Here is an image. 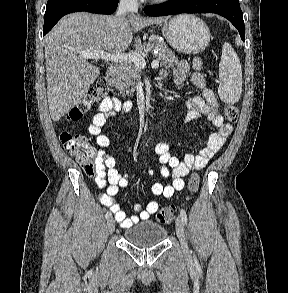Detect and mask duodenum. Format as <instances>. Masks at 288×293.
I'll use <instances>...</instances> for the list:
<instances>
[{
	"mask_svg": "<svg viewBox=\"0 0 288 293\" xmlns=\"http://www.w3.org/2000/svg\"><path fill=\"white\" fill-rule=\"evenodd\" d=\"M118 75V67L116 65H110L106 72V80L110 85L115 84Z\"/></svg>",
	"mask_w": 288,
	"mask_h": 293,
	"instance_id": "410a0bca",
	"label": "duodenum"
}]
</instances>
